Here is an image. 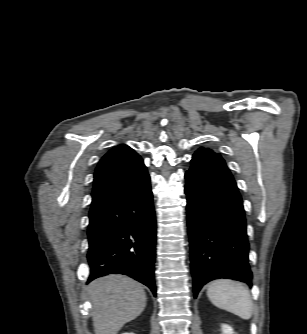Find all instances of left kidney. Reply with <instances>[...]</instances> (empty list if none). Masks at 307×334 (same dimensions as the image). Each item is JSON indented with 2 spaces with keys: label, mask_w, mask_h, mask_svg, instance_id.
Masks as SVG:
<instances>
[{
  "label": "left kidney",
  "mask_w": 307,
  "mask_h": 334,
  "mask_svg": "<svg viewBox=\"0 0 307 334\" xmlns=\"http://www.w3.org/2000/svg\"><path fill=\"white\" fill-rule=\"evenodd\" d=\"M222 332H223V334H235L233 332L232 327H230L229 325H226V324L222 325Z\"/></svg>",
  "instance_id": "5707ae66"
}]
</instances>
